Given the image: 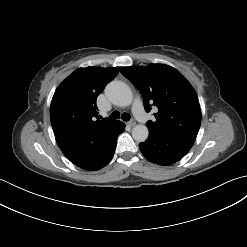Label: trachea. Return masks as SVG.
<instances>
[{
  "label": "trachea",
  "instance_id": "trachea-1",
  "mask_svg": "<svg viewBox=\"0 0 247 247\" xmlns=\"http://www.w3.org/2000/svg\"><path fill=\"white\" fill-rule=\"evenodd\" d=\"M119 117H120L119 111H114V112L110 115V119H112V120L119 119ZM121 118H122V120H124V121H129V120H130V114H129V113H123V114L121 115Z\"/></svg>",
  "mask_w": 247,
  "mask_h": 247
}]
</instances>
